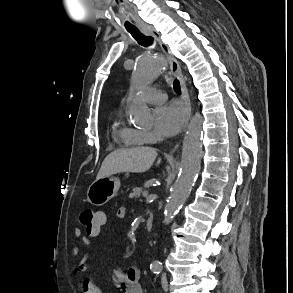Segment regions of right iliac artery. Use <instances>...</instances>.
<instances>
[{
    "instance_id": "1",
    "label": "right iliac artery",
    "mask_w": 293,
    "mask_h": 293,
    "mask_svg": "<svg viewBox=\"0 0 293 293\" xmlns=\"http://www.w3.org/2000/svg\"><path fill=\"white\" fill-rule=\"evenodd\" d=\"M160 270H161L160 268H153V269H152V271H153L154 273H159Z\"/></svg>"
}]
</instances>
